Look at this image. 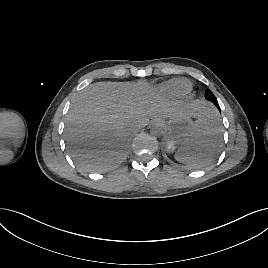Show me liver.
Segmentation results:
<instances>
[{
  "mask_svg": "<svg viewBox=\"0 0 268 268\" xmlns=\"http://www.w3.org/2000/svg\"><path fill=\"white\" fill-rule=\"evenodd\" d=\"M211 110L200 100L184 110L155 94L146 82H97L72 100L65 119V140L79 167L101 172L121 161L130 133L149 119H170L181 114L202 118Z\"/></svg>",
  "mask_w": 268,
  "mask_h": 268,
  "instance_id": "liver-1",
  "label": "liver"
}]
</instances>
